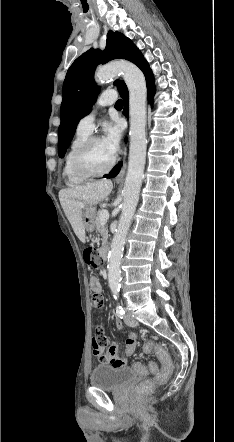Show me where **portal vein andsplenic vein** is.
I'll return each mask as SVG.
<instances>
[{"instance_id": "18ae733b", "label": "portal vein and splenic vein", "mask_w": 234, "mask_h": 442, "mask_svg": "<svg viewBox=\"0 0 234 442\" xmlns=\"http://www.w3.org/2000/svg\"><path fill=\"white\" fill-rule=\"evenodd\" d=\"M109 218V211L108 210H102L100 212V220L102 223H105Z\"/></svg>"}]
</instances>
